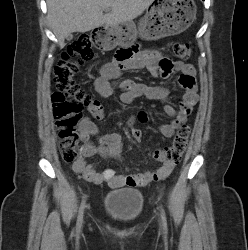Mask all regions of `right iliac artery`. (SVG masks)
I'll return each instance as SVG.
<instances>
[{
	"mask_svg": "<svg viewBox=\"0 0 248 250\" xmlns=\"http://www.w3.org/2000/svg\"><path fill=\"white\" fill-rule=\"evenodd\" d=\"M86 199L85 197H83L80 207H79V211H78V218H77V223H76V231H78L81 228L82 225V220H83V213H84V209L86 207Z\"/></svg>",
	"mask_w": 248,
	"mask_h": 250,
	"instance_id": "right-iliac-artery-1",
	"label": "right iliac artery"
}]
</instances>
